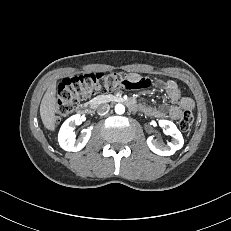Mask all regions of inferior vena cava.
Returning a JSON list of instances; mask_svg holds the SVG:
<instances>
[{
  "mask_svg": "<svg viewBox=\"0 0 231 231\" xmlns=\"http://www.w3.org/2000/svg\"><path fill=\"white\" fill-rule=\"evenodd\" d=\"M109 110H110L109 104H101L97 107V112L101 115L107 114Z\"/></svg>",
  "mask_w": 231,
  "mask_h": 231,
  "instance_id": "obj_1",
  "label": "inferior vena cava"
}]
</instances>
